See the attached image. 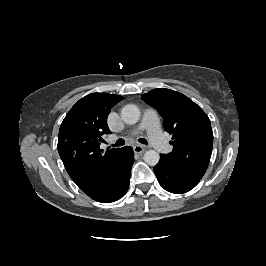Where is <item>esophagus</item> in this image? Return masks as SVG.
<instances>
[{
    "mask_svg": "<svg viewBox=\"0 0 266 266\" xmlns=\"http://www.w3.org/2000/svg\"><path fill=\"white\" fill-rule=\"evenodd\" d=\"M133 150L136 154H141L142 152H144L145 148L142 145H135L133 147Z\"/></svg>",
    "mask_w": 266,
    "mask_h": 266,
    "instance_id": "esophagus-1",
    "label": "esophagus"
}]
</instances>
